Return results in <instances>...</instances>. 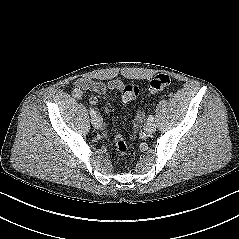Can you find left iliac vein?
Returning a JSON list of instances; mask_svg holds the SVG:
<instances>
[{"mask_svg":"<svg viewBox=\"0 0 239 239\" xmlns=\"http://www.w3.org/2000/svg\"><path fill=\"white\" fill-rule=\"evenodd\" d=\"M155 128L156 126L153 122L148 121L144 124V131L148 134L153 133L155 131Z\"/></svg>","mask_w":239,"mask_h":239,"instance_id":"left-iliac-vein-1","label":"left iliac vein"}]
</instances>
